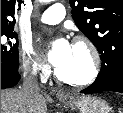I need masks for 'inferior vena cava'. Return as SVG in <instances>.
Returning a JSON list of instances; mask_svg holds the SVG:
<instances>
[{
    "mask_svg": "<svg viewBox=\"0 0 123 113\" xmlns=\"http://www.w3.org/2000/svg\"><path fill=\"white\" fill-rule=\"evenodd\" d=\"M20 90L26 97H29V98L39 96L40 88H39L37 77L33 75L32 73L25 74L23 85Z\"/></svg>",
    "mask_w": 123,
    "mask_h": 113,
    "instance_id": "1",
    "label": "inferior vena cava"
}]
</instances>
